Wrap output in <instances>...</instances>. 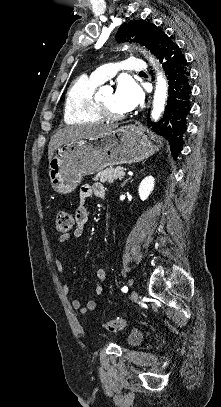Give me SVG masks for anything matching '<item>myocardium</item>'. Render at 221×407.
<instances>
[{"label":"myocardium","instance_id":"1","mask_svg":"<svg viewBox=\"0 0 221 407\" xmlns=\"http://www.w3.org/2000/svg\"><path fill=\"white\" fill-rule=\"evenodd\" d=\"M96 108L98 111V114L103 118V119H109V120H121L127 117L126 113H116L110 110L104 103L102 102H97L96 103Z\"/></svg>","mask_w":221,"mask_h":407}]
</instances>
